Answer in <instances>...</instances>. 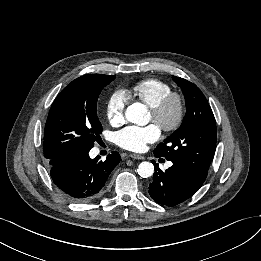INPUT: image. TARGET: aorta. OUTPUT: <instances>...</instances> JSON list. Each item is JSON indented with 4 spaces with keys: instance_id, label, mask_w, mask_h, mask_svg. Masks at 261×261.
Listing matches in <instances>:
<instances>
[{
    "instance_id": "762f6f07",
    "label": "aorta",
    "mask_w": 261,
    "mask_h": 261,
    "mask_svg": "<svg viewBox=\"0 0 261 261\" xmlns=\"http://www.w3.org/2000/svg\"><path fill=\"white\" fill-rule=\"evenodd\" d=\"M125 118L129 122L140 126H144L149 122L147 108L141 103H134L128 106L125 111ZM137 171L142 178H148L153 175L154 166L152 163L144 161L139 164Z\"/></svg>"
}]
</instances>
